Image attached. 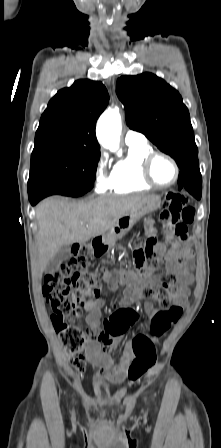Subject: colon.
<instances>
[{"label":"colon","instance_id":"colon-1","mask_svg":"<svg viewBox=\"0 0 221 448\" xmlns=\"http://www.w3.org/2000/svg\"><path fill=\"white\" fill-rule=\"evenodd\" d=\"M166 206L159 215L167 235L179 240L188 237V225L194 220L195 211L189 205L185 196L169 194L166 196ZM154 237L137 239L134 243L136 262L149 264L151 270L158 272L162 285L153 289L149 286L139 288L147 297L154 298L162 310L156 314L149 324L151 337L158 339L182 315V307L172 304L173 292L177 287L178 278L164 266L163 261L153 251ZM99 271L92 265L91 248L79 244L72 248L71 256L59 267L45 275L43 295L51 306V316L54 330L59 334L61 342L67 351L72 365L80 372L86 369L85 346L90 336L88 332L74 322L79 315L81 305L89 299H94L99 289ZM133 324L138 315L129 309ZM108 328V324H106ZM135 359L128 369V384L134 385L155 364L156 352L152 341L136 338L134 342Z\"/></svg>","mask_w":221,"mask_h":448}]
</instances>
